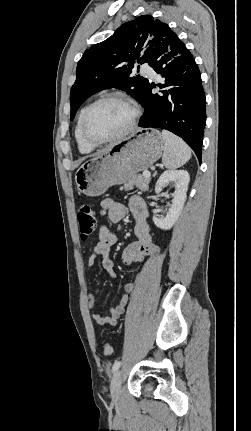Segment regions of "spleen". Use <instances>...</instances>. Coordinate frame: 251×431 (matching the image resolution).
<instances>
[{"instance_id":"3e777b00","label":"spleen","mask_w":251,"mask_h":431,"mask_svg":"<svg viewBox=\"0 0 251 431\" xmlns=\"http://www.w3.org/2000/svg\"><path fill=\"white\" fill-rule=\"evenodd\" d=\"M164 153L162 162L168 169H176L184 165L191 157L188 145L173 133L163 130Z\"/></svg>"}]
</instances>
